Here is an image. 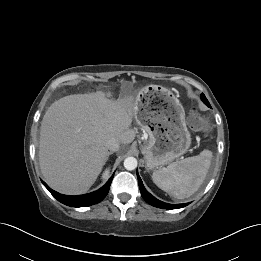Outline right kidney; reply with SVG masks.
Returning <instances> with one entry per match:
<instances>
[{
	"mask_svg": "<svg viewBox=\"0 0 261 261\" xmlns=\"http://www.w3.org/2000/svg\"><path fill=\"white\" fill-rule=\"evenodd\" d=\"M109 174V169H106L105 172L103 173V178L107 177Z\"/></svg>",
	"mask_w": 261,
	"mask_h": 261,
	"instance_id": "right-kidney-1",
	"label": "right kidney"
}]
</instances>
